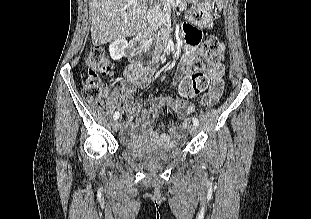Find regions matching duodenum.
I'll return each instance as SVG.
<instances>
[{
    "instance_id": "1",
    "label": "duodenum",
    "mask_w": 311,
    "mask_h": 219,
    "mask_svg": "<svg viewBox=\"0 0 311 219\" xmlns=\"http://www.w3.org/2000/svg\"><path fill=\"white\" fill-rule=\"evenodd\" d=\"M148 29L147 26H144L141 28L139 33L136 34V36L132 39L130 43V47L132 50V54L130 56V60L133 62H139L140 61V55L141 53L146 49V40L148 38ZM170 43V39L167 36L165 39V42L163 43V46H168Z\"/></svg>"
}]
</instances>
